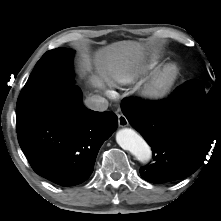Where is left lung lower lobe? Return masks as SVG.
I'll return each instance as SVG.
<instances>
[{"label":"left lung lower lobe","instance_id":"0a47b994","mask_svg":"<svg viewBox=\"0 0 221 221\" xmlns=\"http://www.w3.org/2000/svg\"><path fill=\"white\" fill-rule=\"evenodd\" d=\"M198 83L187 81L174 93L191 91ZM173 94L160 102L125 99L121 103L129 123L152 147L155 163L140 169L148 182L165 183L190 176L204 162L211 144L221 140L220 109L180 107L172 102Z\"/></svg>","mask_w":221,"mask_h":221}]
</instances>
